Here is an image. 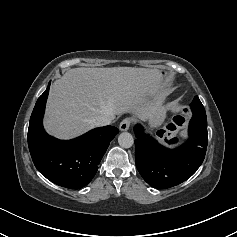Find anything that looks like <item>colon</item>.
Returning a JSON list of instances; mask_svg holds the SVG:
<instances>
[{
    "label": "colon",
    "instance_id": "5ec220e1",
    "mask_svg": "<svg viewBox=\"0 0 237 237\" xmlns=\"http://www.w3.org/2000/svg\"><path fill=\"white\" fill-rule=\"evenodd\" d=\"M187 124V117L185 115H177L173 118L172 123L168 127V140H176V133L182 130Z\"/></svg>",
    "mask_w": 237,
    "mask_h": 237
}]
</instances>
